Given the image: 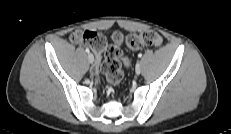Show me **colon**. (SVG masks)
Wrapping results in <instances>:
<instances>
[{
  "label": "colon",
  "mask_w": 231,
  "mask_h": 134,
  "mask_svg": "<svg viewBox=\"0 0 231 134\" xmlns=\"http://www.w3.org/2000/svg\"><path fill=\"white\" fill-rule=\"evenodd\" d=\"M79 41L89 46L96 53L98 61L92 72L98 76L101 71L113 85H118L123 77L122 63L129 64V60L122 57L121 45L125 42L132 50H139L146 46L158 47L162 43L161 36L155 31H144L138 34H130L124 39L120 33L113 36V44L107 46L105 38L94 31H79ZM104 53V60L99 64V58Z\"/></svg>",
  "instance_id": "colon-1"
}]
</instances>
